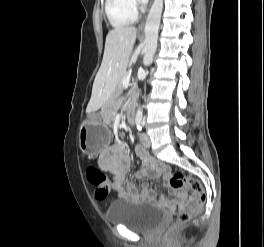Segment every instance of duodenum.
<instances>
[{
  "mask_svg": "<svg viewBox=\"0 0 264 247\" xmlns=\"http://www.w3.org/2000/svg\"><path fill=\"white\" fill-rule=\"evenodd\" d=\"M127 120H128V122H129L130 124L133 123V121H134V114H133L132 111H129V112H128V114H127Z\"/></svg>",
  "mask_w": 264,
  "mask_h": 247,
  "instance_id": "obj_1",
  "label": "duodenum"
}]
</instances>
